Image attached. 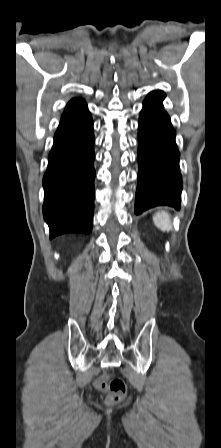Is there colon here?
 Listing matches in <instances>:
<instances>
[{"mask_svg": "<svg viewBox=\"0 0 221 448\" xmlns=\"http://www.w3.org/2000/svg\"><path fill=\"white\" fill-rule=\"evenodd\" d=\"M109 375H105L97 380V387L108 392L107 402L115 404L120 402L126 394V385L119 377H114L108 381Z\"/></svg>", "mask_w": 221, "mask_h": 448, "instance_id": "1", "label": "colon"}]
</instances>
